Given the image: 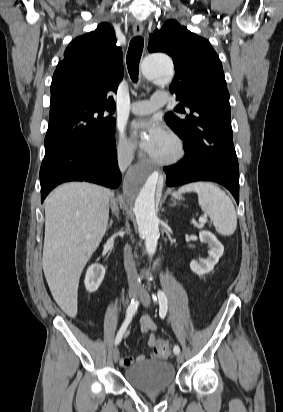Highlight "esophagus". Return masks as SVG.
Wrapping results in <instances>:
<instances>
[{"mask_svg": "<svg viewBox=\"0 0 283 412\" xmlns=\"http://www.w3.org/2000/svg\"><path fill=\"white\" fill-rule=\"evenodd\" d=\"M143 24L142 22H135V24L133 25V33L135 36H141L143 33Z\"/></svg>", "mask_w": 283, "mask_h": 412, "instance_id": "34e87169", "label": "esophagus"}]
</instances>
